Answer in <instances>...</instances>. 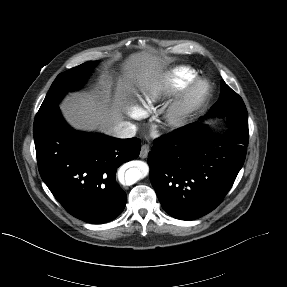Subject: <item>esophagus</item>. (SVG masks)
I'll return each instance as SVG.
<instances>
[{
    "instance_id": "esophagus-1",
    "label": "esophagus",
    "mask_w": 287,
    "mask_h": 287,
    "mask_svg": "<svg viewBox=\"0 0 287 287\" xmlns=\"http://www.w3.org/2000/svg\"><path fill=\"white\" fill-rule=\"evenodd\" d=\"M148 153H149V145L143 144L141 146L140 157L146 158L148 156Z\"/></svg>"
}]
</instances>
